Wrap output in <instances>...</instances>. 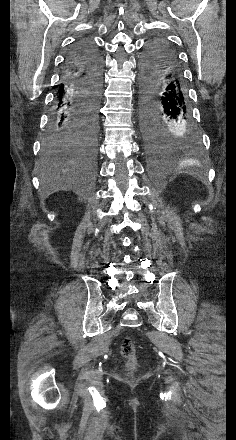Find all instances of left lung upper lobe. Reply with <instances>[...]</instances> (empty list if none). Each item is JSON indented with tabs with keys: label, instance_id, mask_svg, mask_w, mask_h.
<instances>
[{
	"label": "left lung upper lobe",
	"instance_id": "1",
	"mask_svg": "<svg viewBox=\"0 0 236 440\" xmlns=\"http://www.w3.org/2000/svg\"><path fill=\"white\" fill-rule=\"evenodd\" d=\"M165 52H171L175 54L174 50L165 39H154L147 45L141 59V64L151 63L157 60Z\"/></svg>",
	"mask_w": 236,
	"mask_h": 440
}]
</instances>
